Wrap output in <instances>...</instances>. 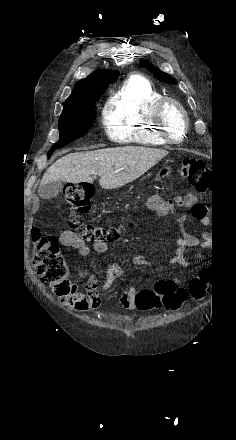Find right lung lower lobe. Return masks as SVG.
I'll list each match as a JSON object with an SVG mask.
<instances>
[{"label": "right lung lower lobe", "mask_w": 236, "mask_h": 440, "mask_svg": "<svg viewBox=\"0 0 236 440\" xmlns=\"http://www.w3.org/2000/svg\"><path fill=\"white\" fill-rule=\"evenodd\" d=\"M53 151H54V150H50V151L48 152V157L51 156V154L53 153Z\"/></svg>", "instance_id": "obj_1"}]
</instances>
